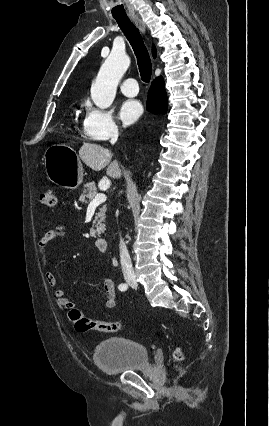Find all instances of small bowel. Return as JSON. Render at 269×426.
I'll return each mask as SVG.
<instances>
[{
  "label": "small bowel",
  "mask_w": 269,
  "mask_h": 426,
  "mask_svg": "<svg viewBox=\"0 0 269 426\" xmlns=\"http://www.w3.org/2000/svg\"><path fill=\"white\" fill-rule=\"evenodd\" d=\"M68 228L65 224H56L52 229L48 230L43 234L38 243V249L41 256V262L45 268V278L47 283L52 286H57V279L55 275L50 272L48 268V258L46 254L47 245L58 238H62L67 234ZM102 284L104 289V298L102 301V306L104 309H113L116 305V288L113 280L106 276H102ZM120 286V285H119ZM54 296L58 305L64 309H71L74 306V303L68 299L64 291L60 288L54 290Z\"/></svg>",
  "instance_id": "obj_1"
}]
</instances>
